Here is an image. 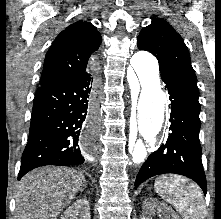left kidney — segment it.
<instances>
[{"label": "left kidney", "instance_id": "1", "mask_svg": "<svg viewBox=\"0 0 221 219\" xmlns=\"http://www.w3.org/2000/svg\"><path fill=\"white\" fill-rule=\"evenodd\" d=\"M142 219H152L155 213L161 216V219H179V217L165 204L156 199H146L143 203Z\"/></svg>", "mask_w": 221, "mask_h": 219}]
</instances>
